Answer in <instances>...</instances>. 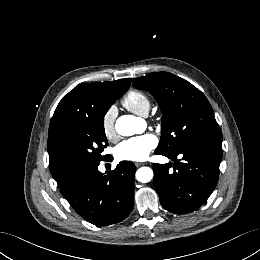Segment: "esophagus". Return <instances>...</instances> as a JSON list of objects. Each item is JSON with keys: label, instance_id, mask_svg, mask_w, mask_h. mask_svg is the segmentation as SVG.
Masks as SVG:
<instances>
[{"label": "esophagus", "instance_id": "34e87169", "mask_svg": "<svg viewBox=\"0 0 260 260\" xmlns=\"http://www.w3.org/2000/svg\"><path fill=\"white\" fill-rule=\"evenodd\" d=\"M144 163H142V162H135V166L136 167H140L141 165H143Z\"/></svg>", "mask_w": 260, "mask_h": 260}]
</instances>
